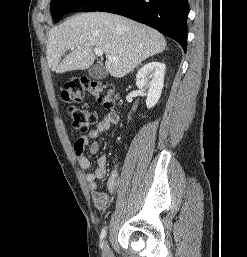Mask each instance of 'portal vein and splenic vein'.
<instances>
[{"instance_id": "18ae733b", "label": "portal vein and splenic vein", "mask_w": 247, "mask_h": 257, "mask_svg": "<svg viewBox=\"0 0 247 257\" xmlns=\"http://www.w3.org/2000/svg\"><path fill=\"white\" fill-rule=\"evenodd\" d=\"M94 52L96 55L98 56H102L103 55V51L101 49H98V48H95L94 49ZM107 59L109 61H117V58L116 57H113V56H107Z\"/></svg>"}]
</instances>
